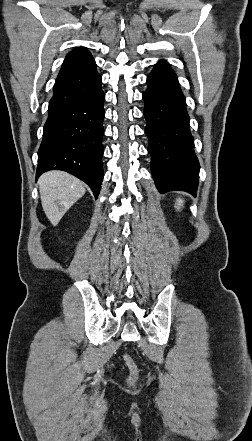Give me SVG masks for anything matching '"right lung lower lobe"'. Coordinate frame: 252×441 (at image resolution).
<instances>
[{
  "instance_id": "right-lung-lower-lobe-1",
  "label": "right lung lower lobe",
  "mask_w": 252,
  "mask_h": 441,
  "mask_svg": "<svg viewBox=\"0 0 252 441\" xmlns=\"http://www.w3.org/2000/svg\"><path fill=\"white\" fill-rule=\"evenodd\" d=\"M101 84L95 61L58 75L38 150L36 178L48 170H63L89 185L97 198L103 180Z\"/></svg>"
}]
</instances>
